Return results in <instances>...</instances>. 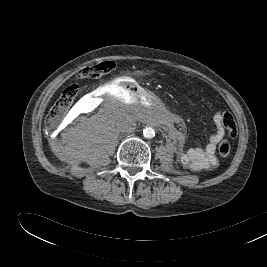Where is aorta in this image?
<instances>
[{"label":"aorta","mask_w":267,"mask_h":267,"mask_svg":"<svg viewBox=\"0 0 267 267\" xmlns=\"http://www.w3.org/2000/svg\"><path fill=\"white\" fill-rule=\"evenodd\" d=\"M143 136H144L145 138H148V139L153 138V137L155 136V131H154V129L151 128V127H147V128H145V129L143 130Z\"/></svg>","instance_id":"762f6f07"}]
</instances>
